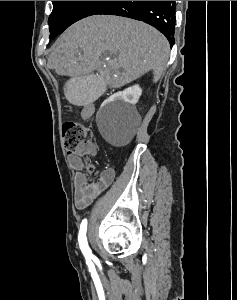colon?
<instances>
[{
  "mask_svg": "<svg viewBox=\"0 0 237 300\" xmlns=\"http://www.w3.org/2000/svg\"><path fill=\"white\" fill-rule=\"evenodd\" d=\"M65 149L69 154H85L92 146V132L89 128L77 123L67 122L63 126ZM86 170L93 171V165L86 163Z\"/></svg>",
  "mask_w": 237,
  "mask_h": 300,
  "instance_id": "obj_1",
  "label": "colon"
}]
</instances>
